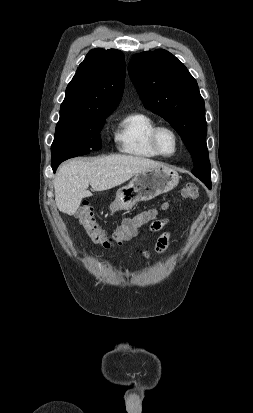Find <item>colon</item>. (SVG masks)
Returning a JSON list of instances; mask_svg holds the SVG:
<instances>
[{
  "mask_svg": "<svg viewBox=\"0 0 253 413\" xmlns=\"http://www.w3.org/2000/svg\"><path fill=\"white\" fill-rule=\"evenodd\" d=\"M198 194V186L193 182L187 183L181 191V196L186 199H195L198 197ZM155 213L154 210L144 211L133 217L124 219L122 224L110 236H107L105 231L96 222L93 208L90 205L83 204L78 207L75 211V216L93 243L105 249H110L116 245H121L123 242L135 236L141 226L152 221Z\"/></svg>",
  "mask_w": 253,
  "mask_h": 413,
  "instance_id": "5ec220e1",
  "label": "colon"
}]
</instances>
